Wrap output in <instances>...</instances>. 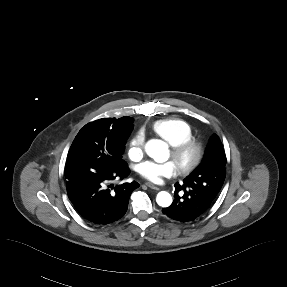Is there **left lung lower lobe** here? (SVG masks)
<instances>
[{
  "mask_svg": "<svg viewBox=\"0 0 287 287\" xmlns=\"http://www.w3.org/2000/svg\"><path fill=\"white\" fill-rule=\"evenodd\" d=\"M180 190L184 191V195L179 197L178 192ZM175 199L173 203L167 207L163 208V214L167 215L168 217L181 221H192L202 215L213 201L205 198L200 193L195 192L194 190L184 187L179 183L175 184Z\"/></svg>",
  "mask_w": 287,
  "mask_h": 287,
  "instance_id": "0a47b994",
  "label": "left lung lower lobe"
}]
</instances>
